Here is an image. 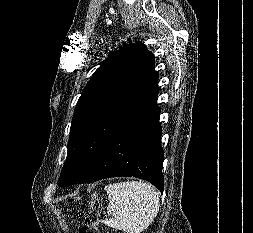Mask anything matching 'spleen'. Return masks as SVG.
Instances as JSON below:
<instances>
[{"instance_id": "3e777b00", "label": "spleen", "mask_w": 253, "mask_h": 233, "mask_svg": "<svg viewBox=\"0 0 253 233\" xmlns=\"http://www.w3.org/2000/svg\"><path fill=\"white\" fill-rule=\"evenodd\" d=\"M108 195V215L102 220L108 227L126 233H140L156 217L159 195L154 187L142 181H127L105 186Z\"/></svg>"}]
</instances>
